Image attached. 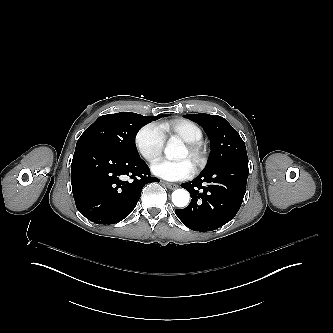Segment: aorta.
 <instances>
[{
    "label": "aorta",
    "instance_id": "762f6f07",
    "mask_svg": "<svg viewBox=\"0 0 333 333\" xmlns=\"http://www.w3.org/2000/svg\"><path fill=\"white\" fill-rule=\"evenodd\" d=\"M181 147V142L172 137L167 141L164 153L167 157H173L174 152ZM189 192L185 189H177L172 193V202L176 207H185L189 203Z\"/></svg>",
    "mask_w": 333,
    "mask_h": 333
}]
</instances>
